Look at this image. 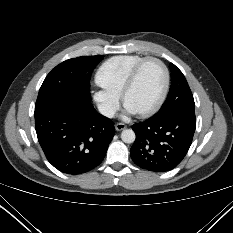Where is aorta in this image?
I'll return each mask as SVG.
<instances>
[{
	"instance_id": "1",
	"label": "aorta",
	"mask_w": 233,
	"mask_h": 233,
	"mask_svg": "<svg viewBox=\"0 0 233 233\" xmlns=\"http://www.w3.org/2000/svg\"><path fill=\"white\" fill-rule=\"evenodd\" d=\"M135 138L136 136L132 129H125L121 133V139L124 143H133Z\"/></svg>"
}]
</instances>
